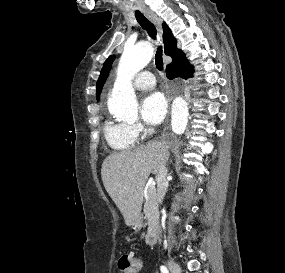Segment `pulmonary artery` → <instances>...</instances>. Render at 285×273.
<instances>
[{
	"mask_svg": "<svg viewBox=\"0 0 285 273\" xmlns=\"http://www.w3.org/2000/svg\"><path fill=\"white\" fill-rule=\"evenodd\" d=\"M156 85L153 73L149 71L140 72L134 79V86L138 89H148Z\"/></svg>",
	"mask_w": 285,
	"mask_h": 273,
	"instance_id": "obj_1",
	"label": "pulmonary artery"
}]
</instances>
